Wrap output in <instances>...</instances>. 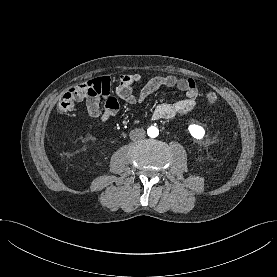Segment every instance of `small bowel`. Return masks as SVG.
Returning a JSON list of instances; mask_svg holds the SVG:
<instances>
[{
  "label": "small bowel",
  "instance_id": "obj_1",
  "mask_svg": "<svg viewBox=\"0 0 277 277\" xmlns=\"http://www.w3.org/2000/svg\"><path fill=\"white\" fill-rule=\"evenodd\" d=\"M142 80L143 77L138 73L121 75L115 88L117 97L130 105H138L160 87H175L185 94L184 99L174 103L158 104L152 114L154 120L172 119L178 114L191 111L196 105L198 88L192 79L177 78L173 75L147 77L144 79V86L135 94L133 87ZM84 84L86 92L80 100H85L87 114L90 118L106 122L116 115L119 103L116 97L111 96L113 85L111 77H97Z\"/></svg>",
  "mask_w": 277,
  "mask_h": 277
}]
</instances>
